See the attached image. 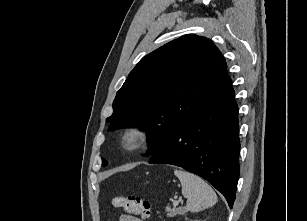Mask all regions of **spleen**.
<instances>
[{
	"mask_svg": "<svg viewBox=\"0 0 307 221\" xmlns=\"http://www.w3.org/2000/svg\"><path fill=\"white\" fill-rule=\"evenodd\" d=\"M174 174L181 181L182 195L187 199L188 211L199 212L216 204V193L202 178L183 170H175Z\"/></svg>",
	"mask_w": 307,
	"mask_h": 221,
	"instance_id": "3e777b00",
	"label": "spleen"
}]
</instances>
